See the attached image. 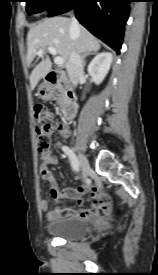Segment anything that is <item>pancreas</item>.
Returning <instances> with one entry per match:
<instances>
[{
	"mask_svg": "<svg viewBox=\"0 0 158 275\" xmlns=\"http://www.w3.org/2000/svg\"><path fill=\"white\" fill-rule=\"evenodd\" d=\"M57 90H58V93H59L57 103L59 105H61L62 102H63V100H64V98H65V96H66L67 88L63 87L62 85H58L57 86Z\"/></svg>",
	"mask_w": 158,
	"mask_h": 275,
	"instance_id": "obj_1",
	"label": "pancreas"
}]
</instances>
